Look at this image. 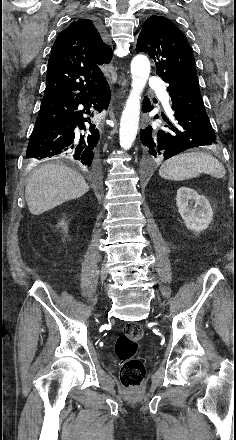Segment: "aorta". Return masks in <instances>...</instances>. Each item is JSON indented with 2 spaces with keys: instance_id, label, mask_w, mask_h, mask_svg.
Masks as SVG:
<instances>
[{
  "instance_id": "762f6f07",
  "label": "aorta",
  "mask_w": 236,
  "mask_h": 440,
  "mask_svg": "<svg viewBox=\"0 0 236 440\" xmlns=\"http://www.w3.org/2000/svg\"><path fill=\"white\" fill-rule=\"evenodd\" d=\"M150 61L142 54L131 61L132 83L129 97L122 112L119 143L124 150L131 148L138 131L141 94L150 75Z\"/></svg>"
}]
</instances>
